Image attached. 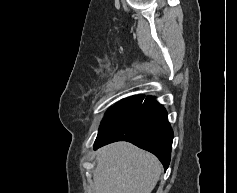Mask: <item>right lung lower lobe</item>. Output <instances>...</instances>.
<instances>
[{"mask_svg": "<svg viewBox=\"0 0 237 193\" xmlns=\"http://www.w3.org/2000/svg\"><path fill=\"white\" fill-rule=\"evenodd\" d=\"M173 131L167 111L152 96H131L111 107L100 125L94 149L128 141L153 153L168 168Z\"/></svg>", "mask_w": 237, "mask_h": 193, "instance_id": "98d812e1", "label": "right lung lower lobe"}]
</instances>
